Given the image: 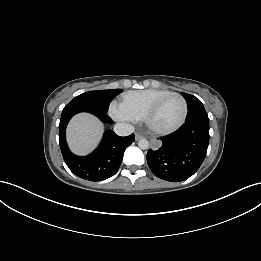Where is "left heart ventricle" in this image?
I'll use <instances>...</instances> for the list:
<instances>
[{
  "label": "left heart ventricle",
  "mask_w": 261,
  "mask_h": 261,
  "mask_svg": "<svg viewBox=\"0 0 261 261\" xmlns=\"http://www.w3.org/2000/svg\"><path fill=\"white\" fill-rule=\"evenodd\" d=\"M183 105L178 97L166 99L151 119V125L157 129H168L180 120Z\"/></svg>",
  "instance_id": "left-heart-ventricle-1"
}]
</instances>
